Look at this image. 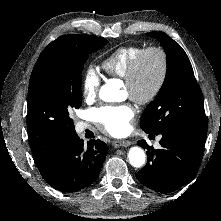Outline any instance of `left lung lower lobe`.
I'll return each mask as SVG.
<instances>
[{"instance_id": "0a47b994", "label": "left lung lower lobe", "mask_w": 221, "mask_h": 221, "mask_svg": "<svg viewBox=\"0 0 221 221\" xmlns=\"http://www.w3.org/2000/svg\"><path fill=\"white\" fill-rule=\"evenodd\" d=\"M161 149H151L146 141L138 145L147 152V164L137 172V179L146 187L170 193L187 184L196 174L203 156L206 128L173 126L161 133Z\"/></svg>"}]
</instances>
